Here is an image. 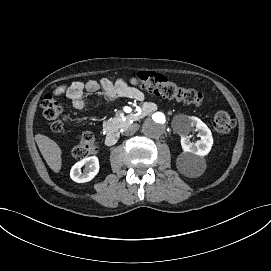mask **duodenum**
Here are the masks:
<instances>
[{
    "label": "duodenum",
    "instance_id": "1",
    "mask_svg": "<svg viewBox=\"0 0 271 271\" xmlns=\"http://www.w3.org/2000/svg\"><path fill=\"white\" fill-rule=\"evenodd\" d=\"M147 110L143 109L141 112H139L136 117L139 118L143 116ZM117 143V136L114 133H109L105 137V144L109 147L114 146Z\"/></svg>",
    "mask_w": 271,
    "mask_h": 271
}]
</instances>
